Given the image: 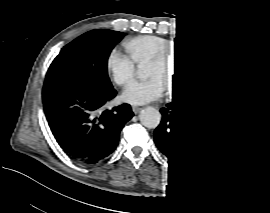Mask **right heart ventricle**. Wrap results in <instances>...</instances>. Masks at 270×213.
I'll list each match as a JSON object with an SVG mask.
<instances>
[{
  "label": "right heart ventricle",
  "mask_w": 270,
  "mask_h": 213,
  "mask_svg": "<svg viewBox=\"0 0 270 213\" xmlns=\"http://www.w3.org/2000/svg\"><path fill=\"white\" fill-rule=\"evenodd\" d=\"M177 47L173 39H166L155 35L140 36L129 43L127 49L131 59L136 63L150 62L164 50Z\"/></svg>",
  "instance_id": "right-heart-ventricle-1"
}]
</instances>
